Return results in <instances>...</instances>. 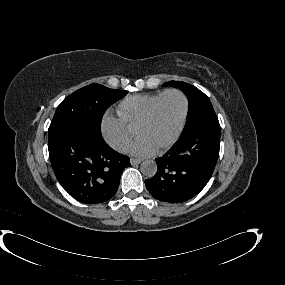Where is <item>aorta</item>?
<instances>
[{
  "instance_id": "762f6f07",
  "label": "aorta",
  "mask_w": 285,
  "mask_h": 285,
  "mask_svg": "<svg viewBox=\"0 0 285 285\" xmlns=\"http://www.w3.org/2000/svg\"><path fill=\"white\" fill-rule=\"evenodd\" d=\"M157 164L153 160H145L141 163V173L146 177H153L157 172Z\"/></svg>"
}]
</instances>
